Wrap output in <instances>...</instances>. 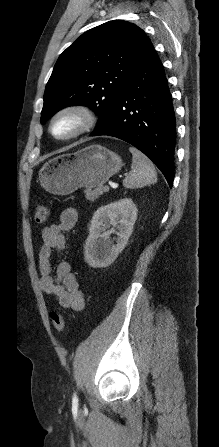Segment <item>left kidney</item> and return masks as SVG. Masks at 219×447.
I'll return each mask as SVG.
<instances>
[{"label": "left kidney", "instance_id": "5707ae66", "mask_svg": "<svg viewBox=\"0 0 219 447\" xmlns=\"http://www.w3.org/2000/svg\"><path fill=\"white\" fill-rule=\"evenodd\" d=\"M137 219V207L130 198L101 206L93 214L89 236L85 243V261L93 268L111 265L125 248ZM112 225L118 229L106 230ZM116 233V244L109 239Z\"/></svg>", "mask_w": 219, "mask_h": 447}]
</instances>
